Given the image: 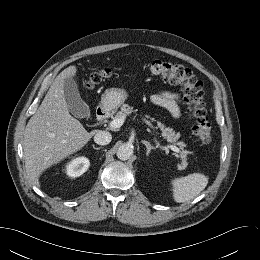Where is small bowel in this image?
I'll return each mask as SVG.
<instances>
[{
  "label": "small bowel",
  "mask_w": 260,
  "mask_h": 260,
  "mask_svg": "<svg viewBox=\"0 0 260 260\" xmlns=\"http://www.w3.org/2000/svg\"><path fill=\"white\" fill-rule=\"evenodd\" d=\"M151 102L166 109L174 118L180 117L181 95L173 91H161L151 96Z\"/></svg>",
  "instance_id": "1"
}]
</instances>
